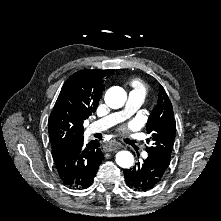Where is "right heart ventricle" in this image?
Listing matches in <instances>:
<instances>
[{
	"mask_svg": "<svg viewBox=\"0 0 221 221\" xmlns=\"http://www.w3.org/2000/svg\"><path fill=\"white\" fill-rule=\"evenodd\" d=\"M132 86L135 88V91H140L143 94L146 93V87L145 84L140 80L136 79L132 82Z\"/></svg>",
	"mask_w": 221,
	"mask_h": 221,
	"instance_id": "e07e8e85",
	"label": "right heart ventricle"
}]
</instances>
